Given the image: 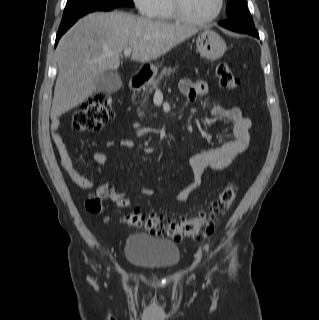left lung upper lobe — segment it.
I'll use <instances>...</instances> for the list:
<instances>
[{"label":"left lung upper lobe","instance_id":"1","mask_svg":"<svg viewBox=\"0 0 319 320\" xmlns=\"http://www.w3.org/2000/svg\"><path fill=\"white\" fill-rule=\"evenodd\" d=\"M226 13L230 21L254 24L245 0H228Z\"/></svg>","mask_w":319,"mask_h":320}]
</instances>
